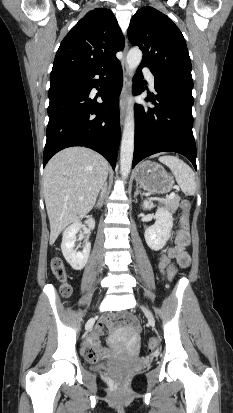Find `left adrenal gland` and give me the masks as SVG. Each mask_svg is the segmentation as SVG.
I'll return each instance as SVG.
<instances>
[{
	"label": "left adrenal gland",
	"instance_id": "obj_1",
	"mask_svg": "<svg viewBox=\"0 0 233 413\" xmlns=\"http://www.w3.org/2000/svg\"><path fill=\"white\" fill-rule=\"evenodd\" d=\"M138 194L141 195V191H140V189H139L138 184H136V191H135V193H134V198H136Z\"/></svg>",
	"mask_w": 233,
	"mask_h": 413
}]
</instances>
